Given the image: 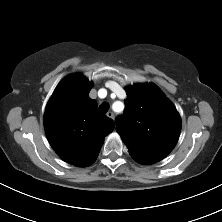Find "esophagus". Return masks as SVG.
Segmentation results:
<instances>
[{
    "label": "esophagus",
    "mask_w": 222,
    "mask_h": 222,
    "mask_svg": "<svg viewBox=\"0 0 222 222\" xmlns=\"http://www.w3.org/2000/svg\"><path fill=\"white\" fill-rule=\"evenodd\" d=\"M107 117L111 118V119H114V114L113 112L109 111L107 114Z\"/></svg>",
    "instance_id": "34e87169"
}]
</instances>
